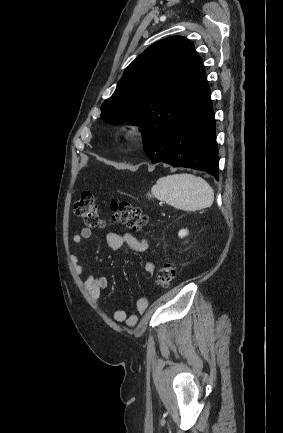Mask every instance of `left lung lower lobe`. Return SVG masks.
Returning a JSON list of instances; mask_svg holds the SVG:
<instances>
[{"label":"left lung lower lobe","instance_id":"obj_1","mask_svg":"<svg viewBox=\"0 0 283 433\" xmlns=\"http://www.w3.org/2000/svg\"><path fill=\"white\" fill-rule=\"evenodd\" d=\"M201 95L202 107L196 114L148 131L143 142L144 151L154 164L164 162L173 167L203 170L218 180L215 119L205 75Z\"/></svg>","mask_w":283,"mask_h":433}]
</instances>
